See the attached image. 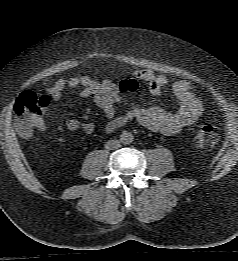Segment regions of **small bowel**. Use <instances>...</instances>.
<instances>
[{
	"label": "small bowel",
	"mask_w": 238,
	"mask_h": 261,
	"mask_svg": "<svg viewBox=\"0 0 238 261\" xmlns=\"http://www.w3.org/2000/svg\"><path fill=\"white\" fill-rule=\"evenodd\" d=\"M125 79L146 81L149 84L150 92L154 95L170 89L179 105L178 109L167 112L157 106L142 107L138 104H131L123 115L117 116L116 113L123 101L120 94V82ZM78 87L80 96L92 99L108 118L109 121L105 126L107 133H112L128 123L136 121L148 130L165 135H175L195 123L202 114L201 101L190 82L180 80L169 86L166 75L150 69L135 70L118 80L98 81L88 76L60 79L43 95L52 103L61 99L65 90ZM65 126L70 131L82 130L87 134L95 131L94 123L78 119L67 120ZM44 128L43 122L39 129Z\"/></svg>",
	"instance_id": "obj_1"
}]
</instances>
